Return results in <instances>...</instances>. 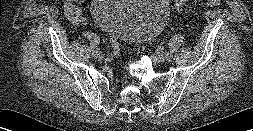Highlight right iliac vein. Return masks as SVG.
Here are the masks:
<instances>
[{"mask_svg":"<svg viewBox=\"0 0 253 131\" xmlns=\"http://www.w3.org/2000/svg\"><path fill=\"white\" fill-rule=\"evenodd\" d=\"M93 55V54H92ZM94 57H97V58H102V55L100 54L99 56H96V55H93Z\"/></svg>","mask_w":253,"mask_h":131,"instance_id":"1","label":"right iliac vein"}]
</instances>
